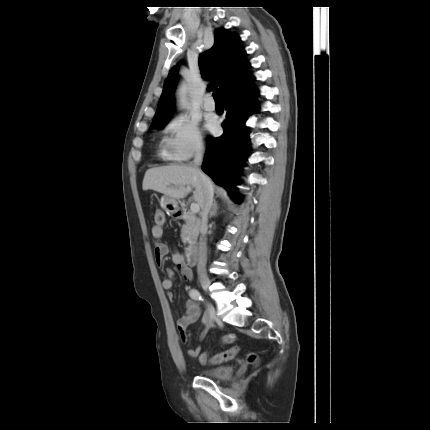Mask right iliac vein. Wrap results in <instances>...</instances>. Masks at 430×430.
Masks as SVG:
<instances>
[{
  "mask_svg": "<svg viewBox=\"0 0 430 430\" xmlns=\"http://www.w3.org/2000/svg\"><path fill=\"white\" fill-rule=\"evenodd\" d=\"M201 285H202V288L205 291H208L209 286H210V280H209V278H207V277L201 278ZM209 310H210L211 313H214V308L212 306L209 307Z\"/></svg>",
  "mask_w": 430,
  "mask_h": 430,
  "instance_id": "63e3f726",
  "label": "right iliac vein"
}]
</instances>
